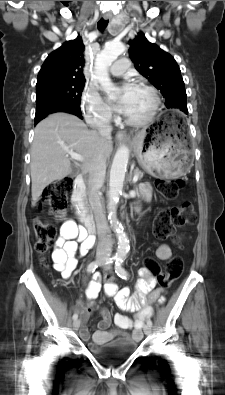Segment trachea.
Segmentation results:
<instances>
[{
  "label": "trachea",
  "mask_w": 225,
  "mask_h": 395,
  "mask_svg": "<svg viewBox=\"0 0 225 395\" xmlns=\"http://www.w3.org/2000/svg\"><path fill=\"white\" fill-rule=\"evenodd\" d=\"M107 25H108V20H104L103 18H101V19L98 21V24H97L98 29H99L100 31H104V29L107 27Z\"/></svg>",
  "instance_id": "3493384b"
}]
</instances>
